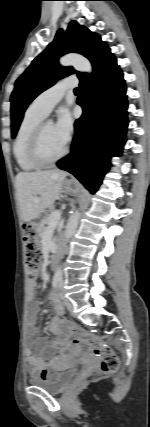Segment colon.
<instances>
[{
  "instance_id": "5ec220e1",
  "label": "colon",
  "mask_w": 150,
  "mask_h": 427,
  "mask_svg": "<svg viewBox=\"0 0 150 427\" xmlns=\"http://www.w3.org/2000/svg\"><path fill=\"white\" fill-rule=\"evenodd\" d=\"M23 240L26 249V271L29 277L34 278L41 261V246L36 232L30 226L24 228ZM63 329L68 331L75 343H83L89 347L95 356L100 359V372L113 374L118 370L119 359L114 350L100 337L88 336L80 328L69 323H62Z\"/></svg>"
}]
</instances>
